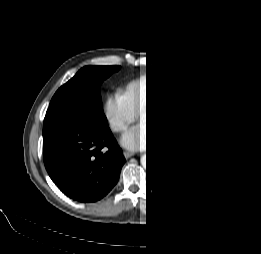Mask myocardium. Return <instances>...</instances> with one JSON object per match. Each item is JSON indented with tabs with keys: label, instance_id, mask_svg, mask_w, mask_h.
<instances>
[{
	"label": "myocardium",
	"instance_id": "1",
	"mask_svg": "<svg viewBox=\"0 0 261 254\" xmlns=\"http://www.w3.org/2000/svg\"><path fill=\"white\" fill-rule=\"evenodd\" d=\"M156 104H157V101H155V99L153 101L149 102L147 105L144 106V111L142 112V114H147L148 112L153 111L156 107ZM169 137H167V138H169Z\"/></svg>",
	"mask_w": 261,
	"mask_h": 254
}]
</instances>
